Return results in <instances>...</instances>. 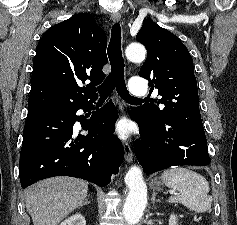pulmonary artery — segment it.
Instances as JSON below:
<instances>
[{
	"label": "pulmonary artery",
	"instance_id": "obj_1",
	"mask_svg": "<svg viewBox=\"0 0 237 225\" xmlns=\"http://www.w3.org/2000/svg\"><path fill=\"white\" fill-rule=\"evenodd\" d=\"M129 90L131 93L137 96H144L147 93V90L143 84V80L138 77H133L130 79Z\"/></svg>",
	"mask_w": 237,
	"mask_h": 225
}]
</instances>
